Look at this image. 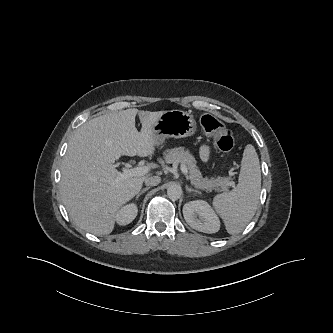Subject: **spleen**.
Masks as SVG:
<instances>
[{
    "mask_svg": "<svg viewBox=\"0 0 333 333\" xmlns=\"http://www.w3.org/2000/svg\"><path fill=\"white\" fill-rule=\"evenodd\" d=\"M261 190V170L255 148L246 146L237 186L213 198V206L229 234L241 232L255 215Z\"/></svg>",
    "mask_w": 333,
    "mask_h": 333,
    "instance_id": "1",
    "label": "spleen"
}]
</instances>
